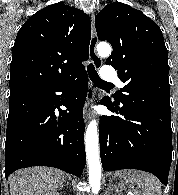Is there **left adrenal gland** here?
<instances>
[{
    "label": "left adrenal gland",
    "instance_id": "left-adrenal-gland-1",
    "mask_svg": "<svg viewBox=\"0 0 178 195\" xmlns=\"http://www.w3.org/2000/svg\"><path fill=\"white\" fill-rule=\"evenodd\" d=\"M113 191H114L113 185L109 184L107 187L106 195H110V194L114 195ZM115 192L117 193L118 191L115 190Z\"/></svg>",
    "mask_w": 178,
    "mask_h": 195
}]
</instances>
